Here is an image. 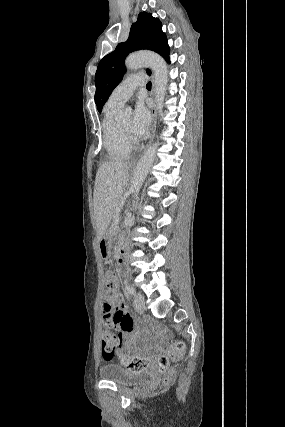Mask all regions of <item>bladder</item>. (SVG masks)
Here are the masks:
<instances>
[{
	"mask_svg": "<svg viewBox=\"0 0 285 427\" xmlns=\"http://www.w3.org/2000/svg\"><path fill=\"white\" fill-rule=\"evenodd\" d=\"M99 375L105 381L123 385L132 382H143L152 378V374L148 371L136 370L128 372L116 363H108L102 366L99 370Z\"/></svg>",
	"mask_w": 285,
	"mask_h": 427,
	"instance_id": "obj_1",
	"label": "bladder"
}]
</instances>
